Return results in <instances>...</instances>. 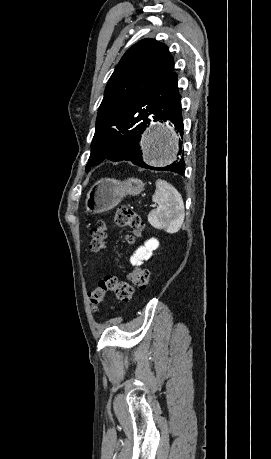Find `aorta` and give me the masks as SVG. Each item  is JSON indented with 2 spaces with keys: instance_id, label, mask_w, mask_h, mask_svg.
Listing matches in <instances>:
<instances>
[{
  "instance_id": "aorta-1",
  "label": "aorta",
  "mask_w": 271,
  "mask_h": 459,
  "mask_svg": "<svg viewBox=\"0 0 271 459\" xmlns=\"http://www.w3.org/2000/svg\"><path fill=\"white\" fill-rule=\"evenodd\" d=\"M178 152L177 138L165 124L158 123L150 127L143 142V159L153 166H162L173 162Z\"/></svg>"
}]
</instances>
